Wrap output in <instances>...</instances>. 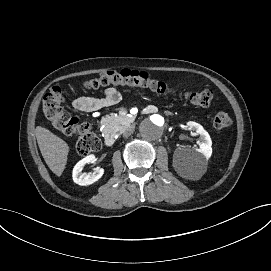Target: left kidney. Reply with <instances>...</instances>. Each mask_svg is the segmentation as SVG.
I'll use <instances>...</instances> for the list:
<instances>
[{
	"mask_svg": "<svg viewBox=\"0 0 271 271\" xmlns=\"http://www.w3.org/2000/svg\"><path fill=\"white\" fill-rule=\"evenodd\" d=\"M188 127L196 130L200 135L199 148L188 150L186 148H177L174 152L173 163L179 171L187 175L194 176L197 174V167L200 165L202 158L208 160L212 154V141L208 132L202 125L190 121Z\"/></svg>",
	"mask_w": 271,
	"mask_h": 271,
	"instance_id": "left-kidney-1",
	"label": "left kidney"
}]
</instances>
